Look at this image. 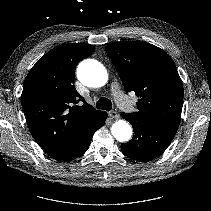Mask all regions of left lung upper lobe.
Masks as SVG:
<instances>
[{"label":"left lung upper lobe","mask_w":211,"mask_h":211,"mask_svg":"<svg viewBox=\"0 0 211 211\" xmlns=\"http://www.w3.org/2000/svg\"><path fill=\"white\" fill-rule=\"evenodd\" d=\"M125 91L139 97L138 111L125 113L141 121L180 124L183 84L176 65L162 49L149 43L127 41L106 47Z\"/></svg>","instance_id":"obj_1"}]
</instances>
